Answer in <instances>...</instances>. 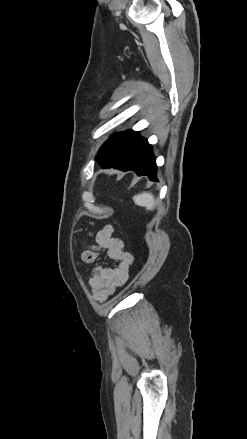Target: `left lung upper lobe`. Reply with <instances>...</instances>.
I'll list each match as a JSON object with an SVG mask.
<instances>
[{
  "instance_id": "left-lung-upper-lobe-1",
  "label": "left lung upper lobe",
  "mask_w": 247,
  "mask_h": 439,
  "mask_svg": "<svg viewBox=\"0 0 247 439\" xmlns=\"http://www.w3.org/2000/svg\"><path fill=\"white\" fill-rule=\"evenodd\" d=\"M138 135L132 130L112 135L100 148L97 160L104 168L122 169Z\"/></svg>"
}]
</instances>
